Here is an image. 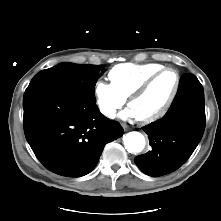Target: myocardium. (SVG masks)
Segmentation results:
<instances>
[{
  "instance_id": "1",
  "label": "myocardium",
  "mask_w": 221,
  "mask_h": 221,
  "mask_svg": "<svg viewBox=\"0 0 221 221\" xmlns=\"http://www.w3.org/2000/svg\"><path fill=\"white\" fill-rule=\"evenodd\" d=\"M167 71H172L174 72L175 76H176V84L174 87V90L172 92V94L170 95L169 99L167 100V102L165 103V105L163 106V108L158 111L157 113L148 116V117H144V118H137V120L143 124H149V123H153L159 119H161L162 117H164L168 111L170 110L171 106L173 105L177 94L179 92L180 89V83H181V78H180V74L179 72L172 67H163L162 69L154 72L153 74H151L129 97L127 100L128 105H130V103L139 98L140 96H142L149 88L150 86L153 84V82L163 73L167 72Z\"/></svg>"
}]
</instances>
